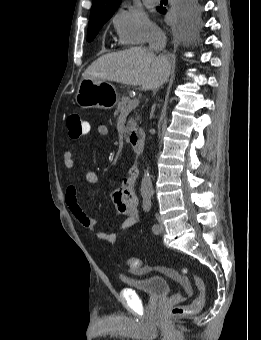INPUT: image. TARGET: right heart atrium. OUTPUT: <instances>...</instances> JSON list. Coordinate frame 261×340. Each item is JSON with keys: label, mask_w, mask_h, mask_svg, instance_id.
Instances as JSON below:
<instances>
[{"label": "right heart atrium", "mask_w": 261, "mask_h": 340, "mask_svg": "<svg viewBox=\"0 0 261 340\" xmlns=\"http://www.w3.org/2000/svg\"><path fill=\"white\" fill-rule=\"evenodd\" d=\"M119 40L124 45H141L160 34V29L140 9L124 7L112 17Z\"/></svg>", "instance_id": "right-heart-atrium-1"}]
</instances>
